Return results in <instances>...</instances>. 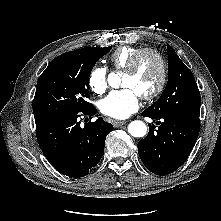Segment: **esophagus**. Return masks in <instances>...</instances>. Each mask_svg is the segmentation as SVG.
Returning a JSON list of instances; mask_svg holds the SVG:
<instances>
[{
  "label": "esophagus",
  "mask_w": 221,
  "mask_h": 221,
  "mask_svg": "<svg viewBox=\"0 0 221 221\" xmlns=\"http://www.w3.org/2000/svg\"><path fill=\"white\" fill-rule=\"evenodd\" d=\"M126 123H127V121H117V120H115V121H113V126L114 127H119V126L124 125Z\"/></svg>",
  "instance_id": "esophagus-1"
}]
</instances>
